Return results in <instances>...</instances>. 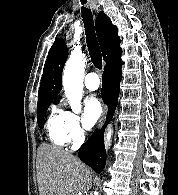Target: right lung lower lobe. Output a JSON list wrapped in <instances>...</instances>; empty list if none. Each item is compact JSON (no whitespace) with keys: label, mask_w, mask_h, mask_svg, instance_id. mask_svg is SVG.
Returning <instances> with one entry per match:
<instances>
[{"label":"right lung lower lobe","mask_w":178,"mask_h":195,"mask_svg":"<svg viewBox=\"0 0 178 195\" xmlns=\"http://www.w3.org/2000/svg\"><path fill=\"white\" fill-rule=\"evenodd\" d=\"M122 65L104 70L102 75V98L104 103L109 106L106 123L100 130H95L91 137L80 148L78 156L95 172L101 173L106 164V152L103 143L105 127L112 119L119 96V85L122 79Z\"/></svg>","instance_id":"obj_1"}]
</instances>
